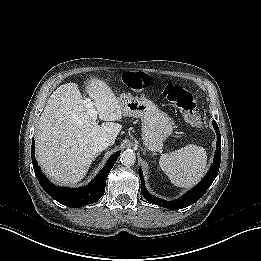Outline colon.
I'll return each mask as SVG.
<instances>
[{
    "instance_id": "colon-1",
    "label": "colon",
    "mask_w": 261,
    "mask_h": 261,
    "mask_svg": "<svg viewBox=\"0 0 261 261\" xmlns=\"http://www.w3.org/2000/svg\"><path fill=\"white\" fill-rule=\"evenodd\" d=\"M130 88L138 91L147 89L151 78L144 72L130 73L126 77ZM163 96L177 108L194 125H201L202 118L197 110L193 94L178 83H169L162 89Z\"/></svg>"
}]
</instances>
